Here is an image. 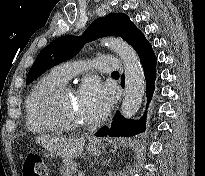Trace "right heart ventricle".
Masks as SVG:
<instances>
[{
    "mask_svg": "<svg viewBox=\"0 0 205 176\" xmlns=\"http://www.w3.org/2000/svg\"><path fill=\"white\" fill-rule=\"evenodd\" d=\"M64 85L53 72L36 82L25 99V113L27 129L33 134L51 133L55 126L46 119L41 111L42 101L47 94L57 87Z\"/></svg>",
    "mask_w": 205,
    "mask_h": 176,
    "instance_id": "right-heart-ventricle-1",
    "label": "right heart ventricle"
}]
</instances>
